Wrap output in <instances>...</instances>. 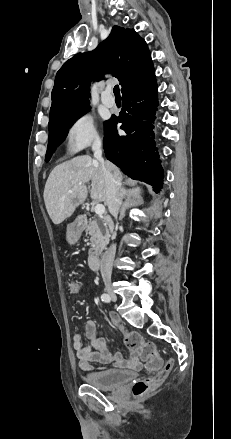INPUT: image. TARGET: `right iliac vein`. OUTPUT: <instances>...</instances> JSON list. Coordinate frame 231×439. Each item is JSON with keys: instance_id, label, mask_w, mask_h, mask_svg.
Wrapping results in <instances>:
<instances>
[{"instance_id": "obj_1", "label": "right iliac vein", "mask_w": 231, "mask_h": 439, "mask_svg": "<svg viewBox=\"0 0 231 439\" xmlns=\"http://www.w3.org/2000/svg\"><path fill=\"white\" fill-rule=\"evenodd\" d=\"M106 292H107V294L110 296V298L112 300H116L117 299V296H116V294L114 292V289H113V287L111 285H109V284L106 285Z\"/></svg>"}]
</instances>
